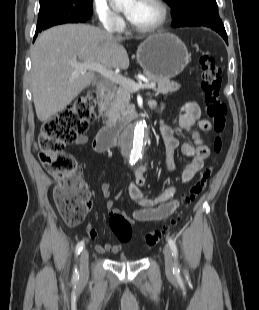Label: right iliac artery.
<instances>
[{
    "label": "right iliac artery",
    "mask_w": 259,
    "mask_h": 310,
    "mask_svg": "<svg viewBox=\"0 0 259 310\" xmlns=\"http://www.w3.org/2000/svg\"><path fill=\"white\" fill-rule=\"evenodd\" d=\"M136 161L130 160L131 165L135 164ZM84 247V241H80L75 248V255L78 256ZM79 279V273L77 268L74 269L73 272V280L77 281Z\"/></svg>",
    "instance_id": "82829eb1"
}]
</instances>
